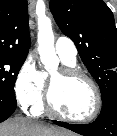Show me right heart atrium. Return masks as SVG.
I'll list each match as a JSON object with an SVG mask.
<instances>
[{"label":"right heart atrium","mask_w":117,"mask_h":136,"mask_svg":"<svg viewBox=\"0 0 117 136\" xmlns=\"http://www.w3.org/2000/svg\"><path fill=\"white\" fill-rule=\"evenodd\" d=\"M45 80L32 59H27L20 67L14 82L16 100L23 108L34 107L42 98Z\"/></svg>","instance_id":"obj_1"}]
</instances>
